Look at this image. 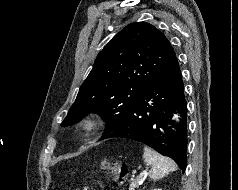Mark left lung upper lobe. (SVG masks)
<instances>
[{
    "mask_svg": "<svg viewBox=\"0 0 238 190\" xmlns=\"http://www.w3.org/2000/svg\"><path fill=\"white\" fill-rule=\"evenodd\" d=\"M175 56L168 39L153 25H127L98 54L61 125L74 124L94 112L105 119L104 134H109Z\"/></svg>",
    "mask_w": 238,
    "mask_h": 190,
    "instance_id": "5c2ea615",
    "label": "left lung upper lobe"
}]
</instances>
